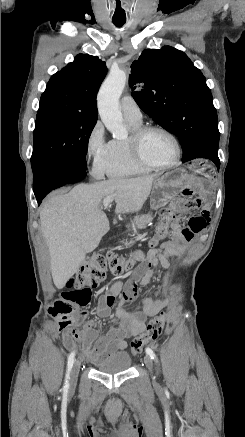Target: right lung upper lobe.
<instances>
[{"mask_svg": "<svg viewBox=\"0 0 245 437\" xmlns=\"http://www.w3.org/2000/svg\"><path fill=\"white\" fill-rule=\"evenodd\" d=\"M107 68L97 56L79 54L54 74L43 92L39 108L61 107L98 118L96 96Z\"/></svg>", "mask_w": 245, "mask_h": 437, "instance_id": "right-lung-upper-lobe-1", "label": "right lung upper lobe"}]
</instances>
